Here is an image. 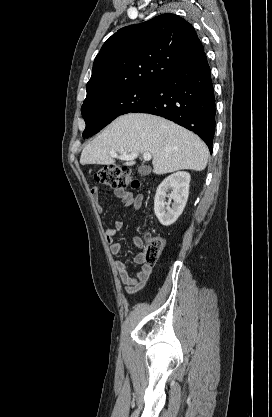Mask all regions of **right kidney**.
Listing matches in <instances>:
<instances>
[{
  "label": "right kidney",
  "instance_id": "obj_1",
  "mask_svg": "<svg viewBox=\"0 0 272 417\" xmlns=\"http://www.w3.org/2000/svg\"><path fill=\"white\" fill-rule=\"evenodd\" d=\"M190 179L189 173L176 172L158 186L154 198V212L163 226H170L182 214L189 195ZM169 190H172L169 198L174 201L172 207L165 203Z\"/></svg>",
  "mask_w": 272,
  "mask_h": 417
}]
</instances>
